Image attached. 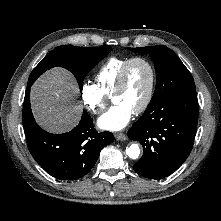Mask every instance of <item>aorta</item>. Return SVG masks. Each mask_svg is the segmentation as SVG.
<instances>
[{"instance_id":"aorta-1","label":"aorta","mask_w":221,"mask_h":221,"mask_svg":"<svg viewBox=\"0 0 221 221\" xmlns=\"http://www.w3.org/2000/svg\"><path fill=\"white\" fill-rule=\"evenodd\" d=\"M126 154L131 159H137L140 155V148L138 144H131L130 147L126 150Z\"/></svg>"}]
</instances>
